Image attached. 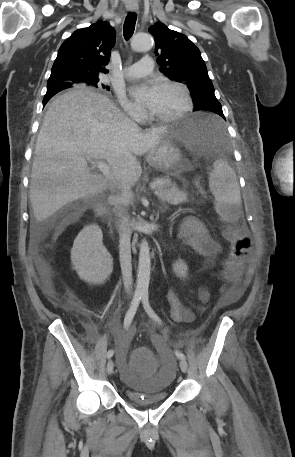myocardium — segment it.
<instances>
[{"label":"myocardium","mask_w":295,"mask_h":457,"mask_svg":"<svg viewBox=\"0 0 295 457\" xmlns=\"http://www.w3.org/2000/svg\"><path fill=\"white\" fill-rule=\"evenodd\" d=\"M159 85L177 88L182 95L183 105L177 112L172 113L170 115L159 116V115H155L151 111H149L148 117L150 118V120L157 121V122H171V121H175V120L183 117L185 114H187L191 110L192 98H191L188 88L183 83H180L177 81H172V80H162V81H160Z\"/></svg>","instance_id":"myocardium-1"}]
</instances>
